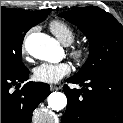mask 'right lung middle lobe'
<instances>
[{
  "instance_id": "right-lung-middle-lobe-1",
  "label": "right lung middle lobe",
  "mask_w": 123,
  "mask_h": 123,
  "mask_svg": "<svg viewBox=\"0 0 123 123\" xmlns=\"http://www.w3.org/2000/svg\"><path fill=\"white\" fill-rule=\"evenodd\" d=\"M47 14L22 13L18 9L1 8V73L21 72L26 69L21 61L23 38Z\"/></svg>"
}]
</instances>
